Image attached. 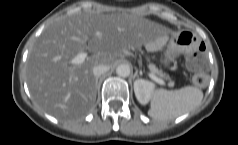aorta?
Instances as JSON below:
<instances>
[{
  "mask_svg": "<svg viewBox=\"0 0 238 145\" xmlns=\"http://www.w3.org/2000/svg\"><path fill=\"white\" fill-rule=\"evenodd\" d=\"M116 73L120 77H128L130 75V67L127 64L118 65L116 68Z\"/></svg>",
  "mask_w": 238,
  "mask_h": 145,
  "instance_id": "1",
  "label": "aorta"
}]
</instances>
